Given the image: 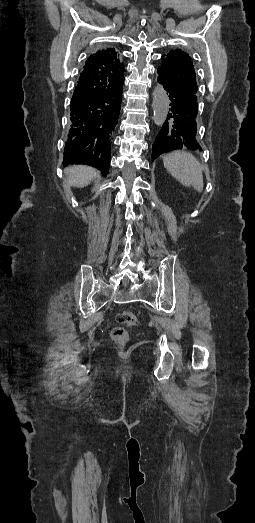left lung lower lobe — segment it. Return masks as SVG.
<instances>
[{
    "label": "left lung lower lobe",
    "instance_id": "left-lung-lower-lobe-1",
    "mask_svg": "<svg viewBox=\"0 0 255 523\" xmlns=\"http://www.w3.org/2000/svg\"><path fill=\"white\" fill-rule=\"evenodd\" d=\"M157 83H162L161 91H168L169 114L162 128L157 129L158 137L151 141L150 148L153 151L150 154L151 160H158V153H171L174 150L192 151L200 148L197 145V131L200 123L198 107L192 103L188 93L181 92L177 86L169 85L165 77L159 76ZM198 120L195 122V117ZM160 140V141H159Z\"/></svg>",
    "mask_w": 255,
    "mask_h": 523
}]
</instances>
